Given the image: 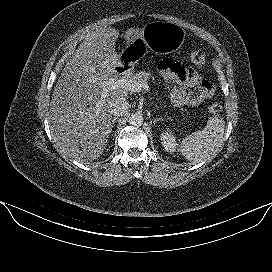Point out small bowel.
Instances as JSON below:
<instances>
[{"label":"small bowel","mask_w":272,"mask_h":272,"mask_svg":"<svg viewBox=\"0 0 272 272\" xmlns=\"http://www.w3.org/2000/svg\"><path fill=\"white\" fill-rule=\"evenodd\" d=\"M159 69L170 84V100L175 106L199 105L214 94L213 84L202 79L197 70L185 68L172 59H163Z\"/></svg>","instance_id":"obj_1"}]
</instances>
